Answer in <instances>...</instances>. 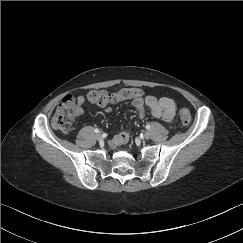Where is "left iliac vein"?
<instances>
[{"mask_svg": "<svg viewBox=\"0 0 243 243\" xmlns=\"http://www.w3.org/2000/svg\"><path fill=\"white\" fill-rule=\"evenodd\" d=\"M144 138L149 139L150 138V133L148 131L144 132Z\"/></svg>", "mask_w": 243, "mask_h": 243, "instance_id": "obj_1", "label": "left iliac vein"}]
</instances>
